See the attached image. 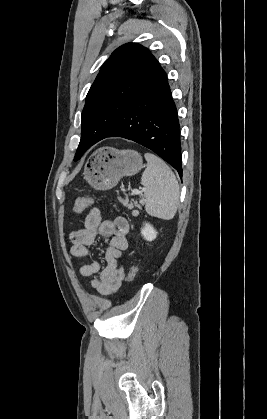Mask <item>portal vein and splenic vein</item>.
Segmentation results:
<instances>
[{
	"instance_id": "1",
	"label": "portal vein and splenic vein",
	"mask_w": 267,
	"mask_h": 419,
	"mask_svg": "<svg viewBox=\"0 0 267 419\" xmlns=\"http://www.w3.org/2000/svg\"><path fill=\"white\" fill-rule=\"evenodd\" d=\"M132 192H133V194H136V195H137V194H141V193H142V191L137 190V189H134Z\"/></svg>"
}]
</instances>
